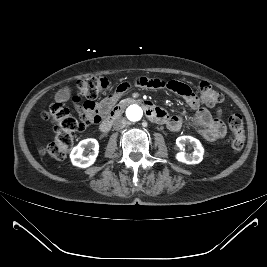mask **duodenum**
<instances>
[{
    "label": "duodenum",
    "mask_w": 267,
    "mask_h": 267,
    "mask_svg": "<svg viewBox=\"0 0 267 267\" xmlns=\"http://www.w3.org/2000/svg\"><path fill=\"white\" fill-rule=\"evenodd\" d=\"M130 104H138L142 106L148 115V117L155 121V122H162L163 116L162 113L158 108H154L150 103L138 100V99H127L121 102L120 104L116 105L110 113L104 118V120L100 123L99 125V130L103 133L108 132L113 123L115 122L116 119H118L121 114L123 113L125 107H127Z\"/></svg>",
    "instance_id": "1"
}]
</instances>
